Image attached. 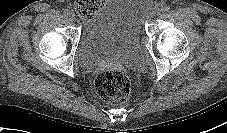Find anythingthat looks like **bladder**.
Returning <instances> with one entry per match:
<instances>
[{"label":"bladder","mask_w":227,"mask_h":133,"mask_svg":"<svg viewBox=\"0 0 227 133\" xmlns=\"http://www.w3.org/2000/svg\"><path fill=\"white\" fill-rule=\"evenodd\" d=\"M149 0H106L85 21L77 47L80 65L115 61L136 69L142 64L143 22Z\"/></svg>","instance_id":"1"}]
</instances>
